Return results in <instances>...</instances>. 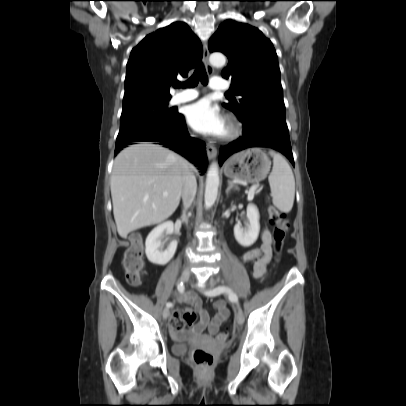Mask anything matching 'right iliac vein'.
<instances>
[{
  "label": "right iliac vein",
  "mask_w": 406,
  "mask_h": 406,
  "mask_svg": "<svg viewBox=\"0 0 406 406\" xmlns=\"http://www.w3.org/2000/svg\"><path fill=\"white\" fill-rule=\"evenodd\" d=\"M190 275H191V273H190V270L189 269H185L183 272H182V274H181V277H180V280L182 281V282H187L189 279H190ZM163 318L164 319H167L168 317H169V315H170V310H169V308H165L164 310H163Z\"/></svg>",
  "instance_id": "obj_1"
}]
</instances>
